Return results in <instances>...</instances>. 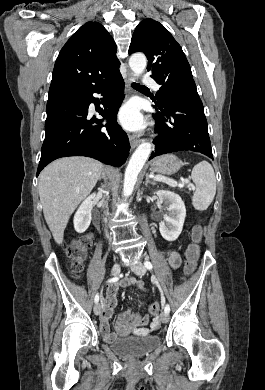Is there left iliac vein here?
<instances>
[{
  "label": "left iliac vein",
  "instance_id": "4c4485c4",
  "mask_svg": "<svg viewBox=\"0 0 265 390\" xmlns=\"http://www.w3.org/2000/svg\"><path fill=\"white\" fill-rule=\"evenodd\" d=\"M133 272L137 275H144L146 273V268L143 264L141 263H137V264H134L131 266ZM160 320L162 321V323H167L168 320H169V314L166 313V312H163L161 315H160Z\"/></svg>",
  "mask_w": 265,
  "mask_h": 390
}]
</instances>
